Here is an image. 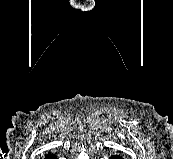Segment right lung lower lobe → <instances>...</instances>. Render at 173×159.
<instances>
[{"mask_svg": "<svg viewBox=\"0 0 173 159\" xmlns=\"http://www.w3.org/2000/svg\"><path fill=\"white\" fill-rule=\"evenodd\" d=\"M45 159H57L55 155H47Z\"/></svg>", "mask_w": 173, "mask_h": 159, "instance_id": "1", "label": "right lung lower lobe"}]
</instances>
